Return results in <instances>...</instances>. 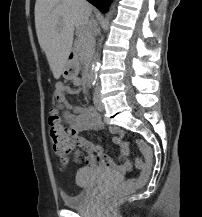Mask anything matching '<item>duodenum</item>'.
I'll list each match as a JSON object with an SVG mask.
<instances>
[{"mask_svg":"<svg viewBox=\"0 0 202 217\" xmlns=\"http://www.w3.org/2000/svg\"><path fill=\"white\" fill-rule=\"evenodd\" d=\"M69 59H70V65L68 66V70L70 72H74L75 71V64H76V56L75 53L73 51H71L69 53ZM86 79L88 83H91V79H92V75L90 72H87L86 74Z\"/></svg>","mask_w":202,"mask_h":217,"instance_id":"1","label":"duodenum"}]
</instances>
